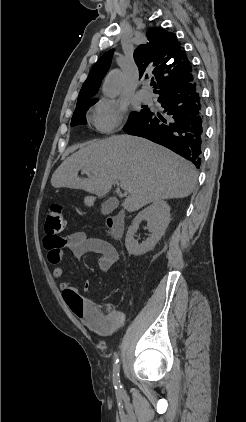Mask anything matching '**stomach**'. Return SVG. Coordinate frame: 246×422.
Returning a JSON list of instances; mask_svg holds the SVG:
<instances>
[{
  "mask_svg": "<svg viewBox=\"0 0 246 422\" xmlns=\"http://www.w3.org/2000/svg\"><path fill=\"white\" fill-rule=\"evenodd\" d=\"M86 204H90L91 203V198H86L85 199Z\"/></svg>",
  "mask_w": 246,
  "mask_h": 422,
  "instance_id": "obj_1",
  "label": "stomach"
}]
</instances>
